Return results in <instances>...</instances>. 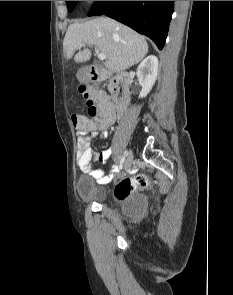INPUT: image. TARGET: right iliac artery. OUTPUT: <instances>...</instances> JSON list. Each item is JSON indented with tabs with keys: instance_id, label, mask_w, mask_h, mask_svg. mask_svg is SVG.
<instances>
[{
	"instance_id": "obj_1",
	"label": "right iliac artery",
	"mask_w": 233,
	"mask_h": 295,
	"mask_svg": "<svg viewBox=\"0 0 233 295\" xmlns=\"http://www.w3.org/2000/svg\"><path fill=\"white\" fill-rule=\"evenodd\" d=\"M128 154H129L128 151H125V152H124V156H125V157L128 156Z\"/></svg>"
}]
</instances>
